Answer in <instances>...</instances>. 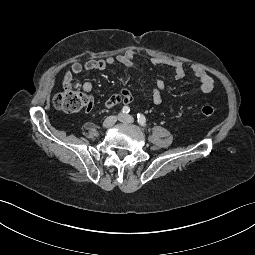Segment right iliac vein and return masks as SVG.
Returning a JSON list of instances; mask_svg holds the SVG:
<instances>
[{
	"label": "right iliac vein",
	"instance_id": "right-iliac-vein-1",
	"mask_svg": "<svg viewBox=\"0 0 255 255\" xmlns=\"http://www.w3.org/2000/svg\"><path fill=\"white\" fill-rule=\"evenodd\" d=\"M121 117V114H119L118 116H109L107 117L104 122H103V128H110L112 127L115 122L117 121V119H119Z\"/></svg>",
	"mask_w": 255,
	"mask_h": 255
}]
</instances>
